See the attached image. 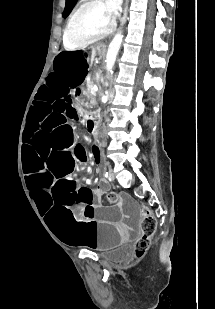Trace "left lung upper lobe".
Instances as JSON below:
<instances>
[{
    "label": "left lung upper lobe",
    "instance_id": "5c2ea615",
    "mask_svg": "<svg viewBox=\"0 0 215 309\" xmlns=\"http://www.w3.org/2000/svg\"><path fill=\"white\" fill-rule=\"evenodd\" d=\"M75 1L76 0H66V7L63 13V17H66L68 15Z\"/></svg>",
    "mask_w": 215,
    "mask_h": 309
}]
</instances>
